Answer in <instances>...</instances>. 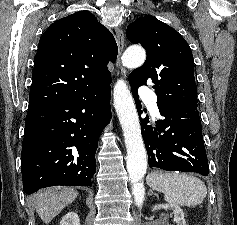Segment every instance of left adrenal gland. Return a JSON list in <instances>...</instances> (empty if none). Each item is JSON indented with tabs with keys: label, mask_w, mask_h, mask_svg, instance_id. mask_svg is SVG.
<instances>
[{
	"label": "left adrenal gland",
	"mask_w": 237,
	"mask_h": 225,
	"mask_svg": "<svg viewBox=\"0 0 237 225\" xmlns=\"http://www.w3.org/2000/svg\"><path fill=\"white\" fill-rule=\"evenodd\" d=\"M149 195H155V196L158 198V195H157V194H155V193H153V191H152V190H150V191H149Z\"/></svg>",
	"instance_id": "obj_1"
}]
</instances>
